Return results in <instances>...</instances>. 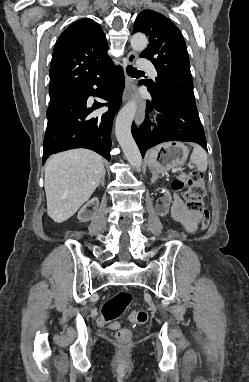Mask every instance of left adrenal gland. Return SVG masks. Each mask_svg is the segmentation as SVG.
Returning <instances> with one entry per match:
<instances>
[{
	"mask_svg": "<svg viewBox=\"0 0 249 382\" xmlns=\"http://www.w3.org/2000/svg\"><path fill=\"white\" fill-rule=\"evenodd\" d=\"M158 179V175L155 172H152L151 182L154 183Z\"/></svg>",
	"mask_w": 249,
	"mask_h": 382,
	"instance_id": "obj_1",
	"label": "left adrenal gland"
}]
</instances>
